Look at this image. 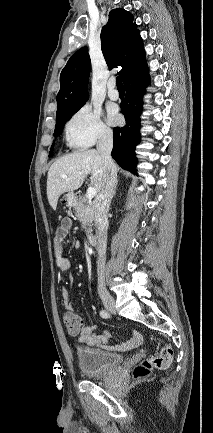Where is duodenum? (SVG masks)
Masks as SVG:
<instances>
[{
	"mask_svg": "<svg viewBox=\"0 0 213 433\" xmlns=\"http://www.w3.org/2000/svg\"><path fill=\"white\" fill-rule=\"evenodd\" d=\"M88 240L91 246H97L98 245V238L95 234H89Z\"/></svg>",
	"mask_w": 213,
	"mask_h": 433,
	"instance_id": "obj_1",
	"label": "duodenum"
}]
</instances>
